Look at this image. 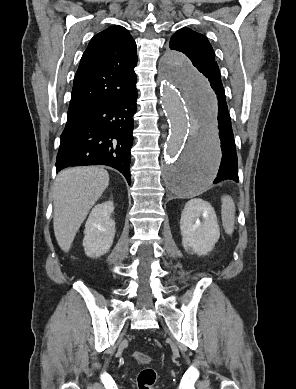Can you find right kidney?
Masks as SVG:
<instances>
[{
    "mask_svg": "<svg viewBox=\"0 0 296 389\" xmlns=\"http://www.w3.org/2000/svg\"><path fill=\"white\" fill-rule=\"evenodd\" d=\"M113 202L96 205L86 221L83 239L85 254L91 258L106 254L115 237V221L111 218Z\"/></svg>",
    "mask_w": 296,
    "mask_h": 389,
    "instance_id": "1",
    "label": "right kidney"
}]
</instances>
